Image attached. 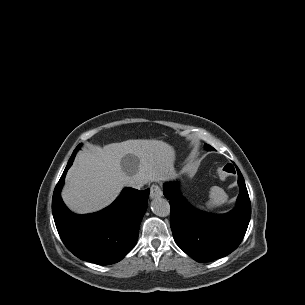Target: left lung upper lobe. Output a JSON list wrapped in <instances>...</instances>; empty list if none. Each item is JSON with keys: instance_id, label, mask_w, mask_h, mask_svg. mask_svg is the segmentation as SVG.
Wrapping results in <instances>:
<instances>
[{"instance_id": "1", "label": "left lung upper lobe", "mask_w": 305, "mask_h": 305, "mask_svg": "<svg viewBox=\"0 0 305 305\" xmlns=\"http://www.w3.org/2000/svg\"><path fill=\"white\" fill-rule=\"evenodd\" d=\"M206 148L212 150V147L209 145H206Z\"/></svg>"}]
</instances>
